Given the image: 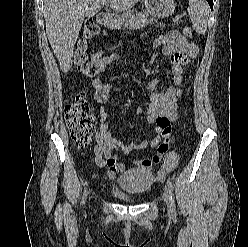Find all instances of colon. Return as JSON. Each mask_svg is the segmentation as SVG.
I'll return each mask as SVG.
<instances>
[{
  "mask_svg": "<svg viewBox=\"0 0 248 247\" xmlns=\"http://www.w3.org/2000/svg\"><path fill=\"white\" fill-rule=\"evenodd\" d=\"M99 30V25L95 21L86 22L83 36L74 52L75 65L87 77H93L99 71V57L94 56L88 60V41L98 35ZM183 33L188 37L192 36V30L189 27H185ZM65 120L75 146L87 147L95 132V117L90 113L88 103L83 96H77L66 105Z\"/></svg>",
  "mask_w": 248,
  "mask_h": 247,
  "instance_id": "1",
  "label": "colon"
}]
</instances>
